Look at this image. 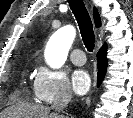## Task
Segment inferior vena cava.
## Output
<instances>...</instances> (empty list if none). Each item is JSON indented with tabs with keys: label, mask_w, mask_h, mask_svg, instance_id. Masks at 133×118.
<instances>
[{
	"label": "inferior vena cava",
	"mask_w": 133,
	"mask_h": 118,
	"mask_svg": "<svg viewBox=\"0 0 133 118\" xmlns=\"http://www.w3.org/2000/svg\"><path fill=\"white\" fill-rule=\"evenodd\" d=\"M72 97V93L69 89L62 88L57 96L55 101L52 104V109L54 110L53 116L55 118H60V113L63 111V109L67 106V104L70 102Z\"/></svg>",
	"instance_id": "obj_1"
}]
</instances>
